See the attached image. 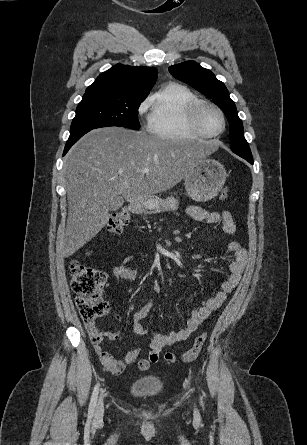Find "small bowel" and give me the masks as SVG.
<instances>
[{
  "label": "small bowel",
  "mask_w": 307,
  "mask_h": 445,
  "mask_svg": "<svg viewBox=\"0 0 307 445\" xmlns=\"http://www.w3.org/2000/svg\"><path fill=\"white\" fill-rule=\"evenodd\" d=\"M186 212L196 221H205L208 224L221 223L223 231L229 236H233L236 232L234 218L227 210L222 212H210L199 206L191 205L187 207ZM226 248L233 254L234 259L229 263L230 273L227 279L221 284L220 290L213 293L209 299L202 302L191 312L184 328L167 334L152 332L149 353L147 357L141 358L138 361L140 370H147L151 363H156L159 360L160 352L165 347L187 340L213 311L219 309L223 305L228 295L238 285L245 269L248 253L241 243L236 240L230 241ZM134 262H136L134 256L126 257L119 265L112 269L113 277L128 281L135 280L137 271L131 267V264ZM153 305L152 301H146L132 316L133 328L138 336H145L148 334L147 330L142 325V320L151 311ZM86 329L101 363L113 374L123 373L126 366L135 362L139 357L140 349L136 348L128 351L123 360L114 358L103 348L102 342L104 337L114 340L118 338L119 334L117 332L100 331L96 327L95 322L87 324Z\"/></svg>",
  "instance_id": "obj_1"
}]
</instances>
